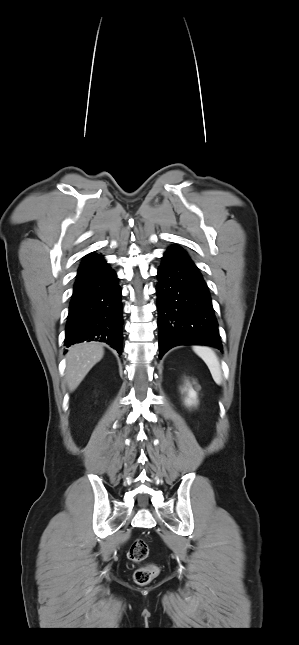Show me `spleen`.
<instances>
[{"label": "spleen", "mask_w": 299, "mask_h": 645, "mask_svg": "<svg viewBox=\"0 0 299 645\" xmlns=\"http://www.w3.org/2000/svg\"><path fill=\"white\" fill-rule=\"evenodd\" d=\"M194 352L202 358V360L208 366L213 380L216 384L221 385L222 383V372L219 360L214 353V351L206 346H195L193 347Z\"/></svg>", "instance_id": "1"}]
</instances>
